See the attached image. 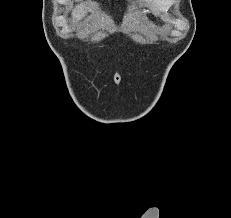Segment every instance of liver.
Segmentation results:
<instances>
[{"instance_id": "obj_1", "label": "liver", "mask_w": 231, "mask_h": 218, "mask_svg": "<svg viewBox=\"0 0 231 218\" xmlns=\"http://www.w3.org/2000/svg\"><path fill=\"white\" fill-rule=\"evenodd\" d=\"M95 5L94 3H91ZM86 15V6L84 4L76 5L75 8L72 10V19L73 22H77L82 19Z\"/></svg>"}]
</instances>
